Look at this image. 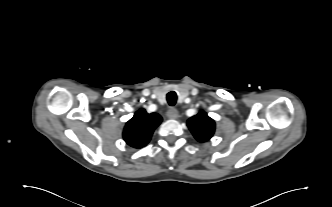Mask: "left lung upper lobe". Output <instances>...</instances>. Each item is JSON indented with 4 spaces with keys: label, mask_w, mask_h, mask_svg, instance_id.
<instances>
[{
    "label": "left lung upper lobe",
    "mask_w": 332,
    "mask_h": 207,
    "mask_svg": "<svg viewBox=\"0 0 332 207\" xmlns=\"http://www.w3.org/2000/svg\"><path fill=\"white\" fill-rule=\"evenodd\" d=\"M187 125L199 142L208 141L215 132V122L204 111H200L197 115L191 117Z\"/></svg>",
    "instance_id": "5c2ea615"
}]
</instances>
